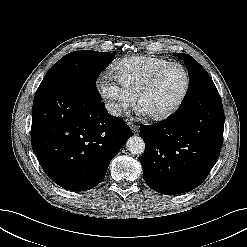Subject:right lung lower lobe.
Instances as JSON below:
<instances>
[{"label":"right lung lower lobe","instance_id":"right-lung-lower-lobe-1","mask_svg":"<svg viewBox=\"0 0 247 247\" xmlns=\"http://www.w3.org/2000/svg\"><path fill=\"white\" fill-rule=\"evenodd\" d=\"M95 82L63 76L38 87L32 108V148L48 177L86 191L104 178L132 131L104 108Z\"/></svg>","mask_w":247,"mask_h":247}]
</instances>
